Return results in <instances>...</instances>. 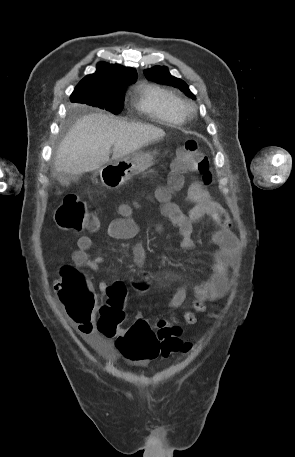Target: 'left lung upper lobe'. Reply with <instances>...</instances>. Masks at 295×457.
Segmentation results:
<instances>
[{"mask_svg": "<svg viewBox=\"0 0 295 457\" xmlns=\"http://www.w3.org/2000/svg\"><path fill=\"white\" fill-rule=\"evenodd\" d=\"M144 75L148 80L159 81L166 85L174 86L179 88L185 94L195 97L189 90L188 85L183 80L172 76L165 66H155L150 69H146L144 70Z\"/></svg>", "mask_w": 295, "mask_h": 457, "instance_id": "1", "label": "left lung upper lobe"}]
</instances>
